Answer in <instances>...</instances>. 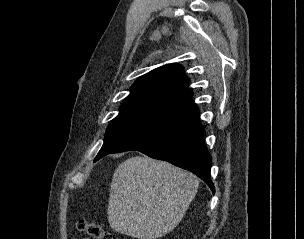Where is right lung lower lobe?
Segmentation results:
<instances>
[{
	"instance_id": "98d812e1",
	"label": "right lung lower lobe",
	"mask_w": 304,
	"mask_h": 239,
	"mask_svg": "<svg viewBox=\"0 0 304 239\" xmlns=\"http://www.w3.org/2000/svg\"><path fill=\"white\" fill-rule=\"evenodd\" d=\"M199 113L196 110L170 120L111 153L137 150L149 157L168 161L196 174L215 193L210 180L212 158L203 142L204 128Z\"/></svg>"
}]
</instances>
